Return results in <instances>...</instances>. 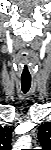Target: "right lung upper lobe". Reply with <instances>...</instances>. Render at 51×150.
Segmentation results:
<instances>
[{"mask_svg": "<svg viewBox=\"0 0 51 150\" xmlns=\"http://www.w3.org/2000/svg\"><path fill=\"white\" fill-rule=\"evenodd\" d=\"M12 129L0 126V150H11Z\"/></svg>", "mask_w": 51, "mask_h": 150, "instance_id": "1", "label": "right lung upper lobe"}]
</instances>
